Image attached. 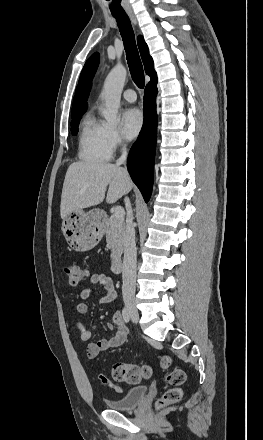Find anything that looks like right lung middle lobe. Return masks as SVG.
<instances>
[{
  "label": "right lung middle lobe",
  "mask_w": 263,
  "mask_h": 440,
  "mask_svg": "<svg viewBox=\"0 0 263 440\" xmlns=\"http://www.w3.org/2000/svg\"><path fill=\"white\" fill-rule=\"evenodd\" d=\"M83 114L77 115L75 117H72V121H71V132L73 135H76L78 132V125L81 119V116Z\"/></svg>",
  "instance_id": "dd1d6c3e"
}]
</instances>
